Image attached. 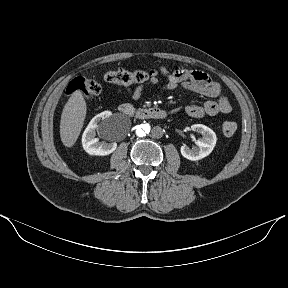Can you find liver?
Wrapping results in <instances>:
<instances>
[{"instance_id":"liver-1","label":"liver","mask_w":288,"mask_h":288,"mask_svg":"<svg viewBox=\"0 0 288 288\" xmlns=\"http://www.w3.org/2000/svg\"><path fill=\"white\" fill-rule=\"evenodd\" d=\"M87 105L81 91H75L65 104L60 121V138L66 147H72L84 124Z\"/></svg>"}]
</instances>
